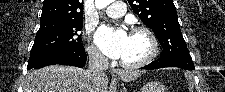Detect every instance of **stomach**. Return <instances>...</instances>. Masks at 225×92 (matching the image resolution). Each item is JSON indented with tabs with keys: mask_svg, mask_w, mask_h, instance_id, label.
<instances>
[{
	"mask_svg": "<svg viewBox=\"0 0 225 92\" xmlns=\"http://www.w3.org/2000/svg\"><path fill=\"white\" fill-rule=\"evenodd\" d=\"M141 92H165V88L160 82L151 81L142 87Z\"/></svg>",
	"mask_w": 225,
	"mask_h": 92,
	"instance_id": "stomach-1",
	"label": "stomach"
}]
</instances>
